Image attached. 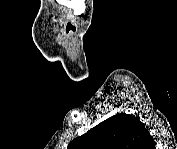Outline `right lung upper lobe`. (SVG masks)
<instances>
[{
  "label": "right lung upper lobe",
  "mask_w": 177,
  "mask_h": 149,
  "mask_svg": "<svg viewBox=\"0 0 177 149\" xmlns=\"http://www.w3.org/2000/svg\"><path fill=\"white\" fill-rule=\"evenodd\" d=\"M148 134L138 118L121 113L73 139L68 149H149L153 147L145 140Z\"/></svg>",
  "instance_id": "1"
}]
</instances>
